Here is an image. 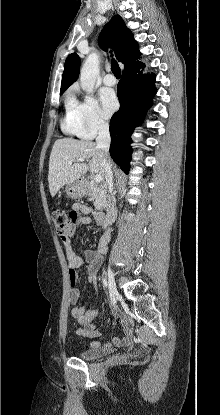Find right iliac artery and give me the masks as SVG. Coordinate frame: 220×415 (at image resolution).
<instances>
[{
	"label": "right iliac artery",
	"instance_id": "1",
	"mask_svg": "<svg viewBox=\"0 0 220 415\" xmlns=\"http://www.w3.org/2000/svg\"><path fill=\"white\" fill-rule=\"evenodd\" d=\"M103 285H104V287H105V288H107V287H108V284H107V281H106V279H105V278H103Z\"/></svg>",
	"mask_w": 220,
	"mask_h": 415
}]
</instances>
